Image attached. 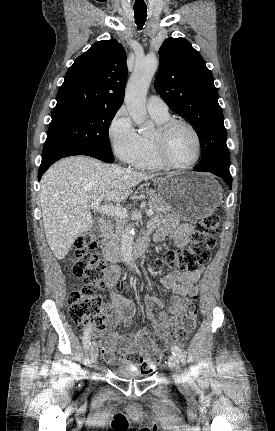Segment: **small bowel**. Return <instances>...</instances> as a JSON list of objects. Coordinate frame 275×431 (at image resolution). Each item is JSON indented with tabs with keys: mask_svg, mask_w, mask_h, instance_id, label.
Masks as SVG:
<instances>
[{
	"mask_svg": "<svg viewBox=\"0 0 275 431\" xmlns=\"http://www.w3.org/2000/svg\"><path fill=\"white\" fill-rule=\"evenodd\" d=\"M151 230L154 232V240L156 242H162L170 234L174 246L178 249H184L189 244L193 233L190 224H180L173 216L155 220L151 226ZM202 273L203 268H200L193 272L171 273L162 279V287L174 294L170 299L169 314L163 310L158 314L154 313L153 309L155 305L161 309L164 307L162 301L152 296L145 298L144 311L151 322L152 328L157 333L171 331L177 326L181 316L190 304L191 297L198 293L197 282ZM120 275L121 270L117 266H111L105 274L111 299V304L108 305L110 312L107 314L106 327L103 330H94L92 336L100 338L101 352L107 362H118L135 367L137 365L132 360V357L142 355L148 344L150 330L142 328L137 333L123 335H119L114 330L118 324L124 326L131 325L135 315L133 302L113 290Z\"/></svg>",
	"mask_w": 275,
	"mask_h": 431,
	"instance_id": "obj_1",
	"label": "small bowel"
}]
</instances>
